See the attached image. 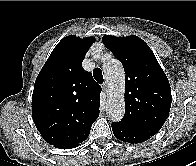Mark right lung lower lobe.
<instances>
[{"label":"right lung lower lobe","mask_w":196,"mask_h":166,"mask_svg":"<svg viewBox=\"0 0 196 166\" xmlns=\"http://www.w3.org/2000/svg\"><path fill=\"white\" fill-rule=\"evenodd\" d=\"M76 146H78V145H76ZM76 146L75 145H68V144H66V145H58V146H54V147L60 148V149H71V148H74Z\"/></svg>","instance_id":"98d812e1"}]
</instances>
